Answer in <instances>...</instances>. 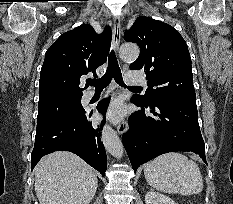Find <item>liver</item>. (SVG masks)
Masks as SVG:
<instances>
[{"mask_svg":"<svg viewBox=\"0 0 233 204\" xmlns=\"http://www.w3.org/2000/svg\"><path fill=\"white\" fill-rule=\"evenodd\" d=\"M97 186L94 169L70 152L46 155L35 167L39 204H89Z\"/></svg>","mask_w":233,"mask_h":204,"instance_id":"1","label":"liver"}]
</instances>
